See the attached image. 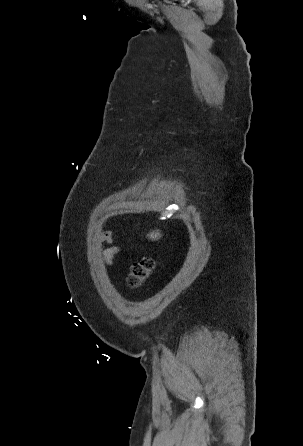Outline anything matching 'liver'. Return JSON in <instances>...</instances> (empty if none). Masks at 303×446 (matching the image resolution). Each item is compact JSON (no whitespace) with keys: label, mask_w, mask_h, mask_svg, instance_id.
I'll return each mask as SVG.
<instances>
[{"label":"liver","mask_w":303,"mask_h":446,"mask_svg":"<svg viewBox=\"0 0 303 446\" xmlns=\"http://www.w3.org/2000/svg\"><path fill=\"white\" fill-rule=\"evenodd\" d=\"M161 234H160V232L157 230V231H153V232H150L149 234H148V237L151 239V240H158L159 238H161Z\"/></svg>","instance_id":"6515ba94"}]
</instances>
